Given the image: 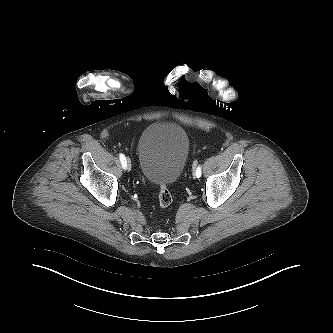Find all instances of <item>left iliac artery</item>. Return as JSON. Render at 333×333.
Masks as SVG:
<instances>
[{
    "label": "left iliac artery",
    "mask_w": 333,
    "mask_h": 333,
    "mask_svg": "<svg viewBox=\"0 0 333 333\" xmlns=\"http://www.w3.org/2000/svg\"><path fill=\"white\" fill-rule=\"evenodd\" d=\"M194 165H196V164L194 163ZM195 176L197 178H199L201 176V166L200 165H198L197 168H196Z\"/></svg>",
    "instance_id": "left-iliac-artery-1"
}]
</instances>
